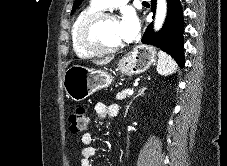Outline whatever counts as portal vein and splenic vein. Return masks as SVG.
Returning a JSON list of instances; mask_svg holds the SVG:
<instances>
[{"mask_svg": "<svg viewBox=\"0 0 227 166\" xmlns=\"http://www.w3.org/2000/svg\"><path fill=\"white\" fill-rule=\"evenodd\" d=\"M133 93H134L133 90H129V91L127 92V95L130 96V95H133Z\"/></svg>", "mask_w": 227, "mask_h": 166, "instance_id": "1", "label": "portal vein and splenic vein"}]
</instances>
